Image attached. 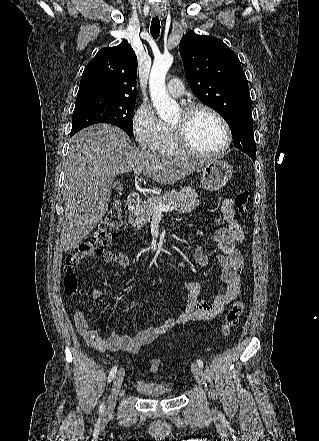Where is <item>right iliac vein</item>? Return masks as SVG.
<instances>
[{"mask_svg":"<svg viewBox=\"0 0 319 441\" xmlns=\"http://www.w3.org/2000/svg\"><path fill=\"white\" fill-rule=\"evenodd\" d=\"M124 376H125L124 369H120L114 377L111 393L108 397L106 407H105V415L106 416H110L114 410L115 403H116V397L120 391Z\"/></svg>","mask_w":319,"mask_h":441,"instance_id":"obj_1","label":"right iliac vein"}]
</instances>
